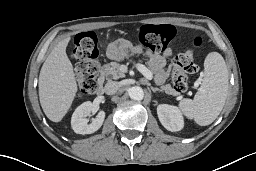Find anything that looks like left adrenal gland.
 <instances>
[{
  "mask_svg": "<svg viewBox=\"0 0 256 171\" xmlns=\"http://www.w3.org/2000/svg\"><path fill=\"white\" fill-rule=\"evenodd\" d=\"M151 90L155 93V92H162V90L161 89H159V88H154V87H152L151 86Z\"/></svg>",
  "mask_w": 256,
  "mask_h": 171,
  "instance_id": "a2214340",
  "label": "left adrenal gland"
}]
</instances>
